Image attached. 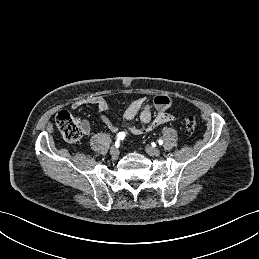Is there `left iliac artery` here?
<instances>
[{
	"label": "left iliac artery",
	"instance_id": "obj_1",
	"mask_svg": "<svg viewBox=\"0 0 259 259\" xmlns=\"http://www.w3.org/2000/svg\"><path fill=\"white\" fill-rule=\"evenodd\" d=\"M158 143H159V145H162V144H163V141L160 139V140L158 141Z\"/></svg>",
	"mask_w": 259,
	"mask_h": 259
}]
</instances>
